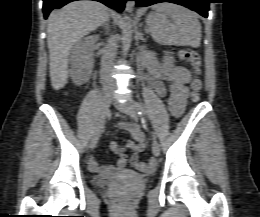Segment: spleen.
<instances>
[{"label":"spleen","instance_id":"1","mask_svg":"<svg viewBox=\"0 0 260 217\" xmlns=\"http://www.w3.org/2000/svg\"><path fill=\"white\" fill-rule=\"evenodd\" d=\"M152 9L146 23L156 42L192 47L200 45L201 25L196 13L172 3H159Z\"/></svg>","mask_w":260,"mask_h":217}]
</instances>
